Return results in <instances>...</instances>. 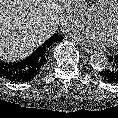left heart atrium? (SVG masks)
Segmentation results:
<instances>
[{
    "label": "left heart atrium",
    "instance_id": "1",
    "mask_svg": "<svg viewBox=\"0 0 118 118\" xmlns=\"http://www.w3.org/2000/svg\"><path fill=\"white\" fill-rule=\"evenodd\" d=\"M73 37L92 47H104L110 43L107 34L99 26H81L73 31Z\"/></svg>",
    "mask_w": 118,
    "mask_h": 118
}]
</instances>
